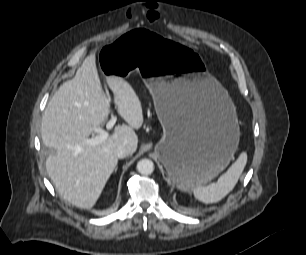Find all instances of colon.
<instances>
[{
    "label": "colon",
    "mask_w": 306,
    "mask_h": 255,
    "mask_svg": "<svg viewBox=\"0 0 306 255\" xmlns=\"http://www.w3.org/2000/svg\"><path fill=\"white\" fill-rule=\"evenodd\" d=\"M146 17L149 21H155L158 17V12L156 9H149L146 12Z\"/></svg>",
    "instance_id": "obj_1"
}]
</instances>
